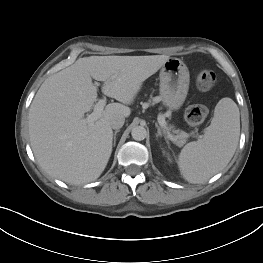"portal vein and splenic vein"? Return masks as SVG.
Instances as JSON below:
<instances>
[{
	"instance_id": "18ae733b",
	"label": "portal vein and splenic vein",
	"mask_w": 263,
	"mask_h": 263,
	"mask_svg": "<svg viewBox=\"0 0 263 263\" xmlns=\"http://www.w3.org/2000/svg\"><path fill=\"white\" fill-rule=\"evenodd\" d=\"M106 103L107 100L105 97L99 99L98 102L94 105L93 112L84 119L85 122L89 125H93L94 122L101 117ZM158 123L166 131L168 138L171 141H175V136L169 131L165 118L162 115L158 117Z\"/></svg>"
}]
</instances>
